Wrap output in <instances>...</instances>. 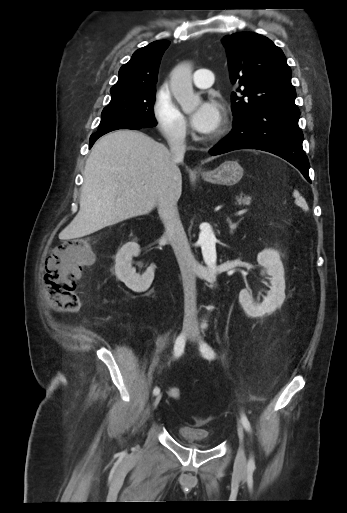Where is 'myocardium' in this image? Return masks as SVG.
<instances>
[{
    "label": "myocardium",
    "instance_id": "obj_1",
    "mask_svg": "<svg viewBox=\"0 0 347 513\" xmlns=\"http://www.w3.org/2000/svg\"><path fill=\"white\" fill-rule=\"evenodd\" d=\"M225 131V125L223 124L219 130H217V132L215 133L214 137H218L220 136L223 132Z\"/></svg>",
    "mask_w": 347,
    "mask_h": 513
}]
</instances>
